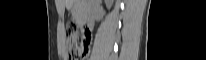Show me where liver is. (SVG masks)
Listing matches in <instances>:
<instances>
[{
  "label": "liver",
  "instance_id": "6515ba94",
  "mask_svg": "<svg viewBox=\"0 0 206 60\" xmlns=\"http://www.w3.org/2000/svg\"><path fill=\"white\" fill-rule=\"evenodd\" d=\"M62 1L66 5H71L74 2V0H62Z\"/></svg>",
  "mask_w": 206,
  "mask_h": 60
}]
</instances>
